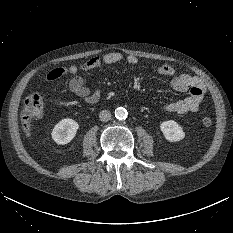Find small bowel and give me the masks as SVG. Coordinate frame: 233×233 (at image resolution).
Wrapping results in <instances>:
<instances>
[{
	"mask_svg": "<svg viewBox=\"0 0 233 233\" xmlns=\"http://www.w3.org/2000/svg\"><path fill=\"white\" fill-rule=\"evenodd\" d=\"M125 60L129 64H137L138 58L135 55L124 56L118 52H111L103 56H95L86 61L81 69L83 71L102 70L106 65L115 64ZM79 68L71 65L65 69L57 68L50 71L47 76V81H54L64 74L72 76L69 82L70 90L82 98L87 104H96L100 99V93L97 90H92L84 84L83 78L78 75ZM155 72L160 76L170 78L172 87L180 92L189 91V96L181 99H176L171 102L162 104L159 109L164 112L177 114H187L197 112L203 100L206 86L205 83L196 76L189 74L177 73L175 68L170 65H161L155 69Z\"/></svg>",
	"mask_w": 233,
	"mask_h": 233,
	"instance_id": "small-bowel-1",
	"label": "small bowel"
}]
</instances>
